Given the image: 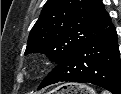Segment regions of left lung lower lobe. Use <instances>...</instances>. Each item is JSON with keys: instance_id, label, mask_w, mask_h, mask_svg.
<instances>
[{"instance_id": "obj_1", "label": "left lung lower lobe", "mask_w": 121, "mask_h": 94, "mask_svg": "<svg viewBox=\"0 0 121 94\" xmlns=\"http://www.w3.org/2000/svg\"><path fill=\"white\" fill-rule=\"evenodd\" d=\"M92 83L121 94V61L113 24L81 44L44 78L38 90L62 82Z\"/></svg>"}]
</instances>
